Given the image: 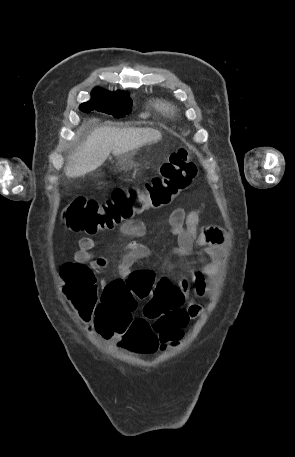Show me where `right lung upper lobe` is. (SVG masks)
<instances>
[{
  "label": "right lung upper lobe",
  "mask_w": 295,
  "mask_h": 457,
  "mask_svg": "<svg viewBox=\"0 0 295 457\" xmlns=\"http://www.w3.org/2000/svg\"><path fill=\"white\" fill-rule=\"evenodd\" d=\"M99 91H104V90H101V89H98V88H96V89L93 90V92H99ZM106 92H107V91H106Z\"/></svg>",
  "instance_id": "right-lung-upper-lobe-1"
}]
</instances>
